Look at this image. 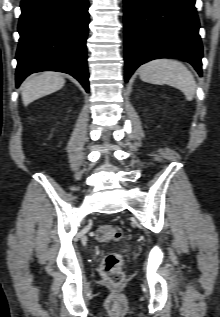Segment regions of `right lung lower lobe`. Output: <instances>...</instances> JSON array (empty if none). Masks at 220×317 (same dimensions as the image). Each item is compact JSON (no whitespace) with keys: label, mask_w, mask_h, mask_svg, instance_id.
Returning <instances> with one entry per match:
<instances>
[{"label":"right lung lower lobe","mask_w":220,"mask_h":317,"mask_svg":"<svg viewBox=\"0 0 220 317\" xmlns=\"http://www.w3.org/2000/svg\"><path fill=\"white\" fill-rule=\"evenodd\" d=\"M88 0H22L16 86L31 73L64 72L89 92Z\"/></svg>","instance_id":"right-lung-lower-lobe-1"}]
</instances>
